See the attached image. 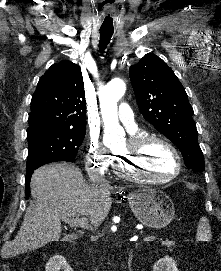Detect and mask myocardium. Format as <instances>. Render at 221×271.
Wrapping results in <instances>:
<instances>
[{
  "label": "myocardium",
  "mask_w": 221,
  "mask_h": 271,
  "mask_svg": "<svg viewBox=\"0 0 221 271\" xmlns=\"http://www.w3.org/2000/svg\"><path fill=\"white\" fill-rule=\"evenodd\" d=\"M150 137H134L133 140H129V145H125V150H131V153H139L140 149L146 148L144 145H157V147H165L167 154L170 155L171 164H173V170H175L170 176L164 178L152 177L154 174L151 172H144L141 165H128L125 167L121 163H125V158H113L111 161V168L114 173V178H149L151 184H164L166 178H178L182 170V165H178V150H174V145H171L169 137L156 132H148ZM151 134H159V137H151ZM143 145V146H142ZM142 146V147H141ZM138 170V173L135 171Z\"/></svg>",
  "instance_id": "1"
}]
</instances>
